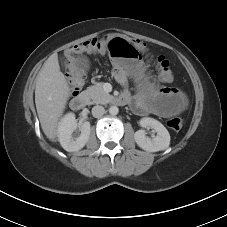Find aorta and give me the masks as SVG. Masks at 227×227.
Listing matches in <instances>:
<instances>
[{
	"label": "aorta",
	"mask_w": 227,
	"mask_h": 227,
	"mask_svg": "<svg viewBox=\"0 0 227 227\" xmlns=\"http://www.w3.org/2000/svg\"><path fill=\"white\" fill-rule=\"evenodd\" d=\"M118 112H119V109H118L117 106H111V107L109 108V113H110L111 115H117Z\"/></svg>",
	"instance_id": "aorta-1"
}]
</instances>
